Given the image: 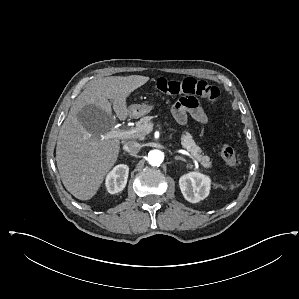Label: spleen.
I'll list each match as a JSON object with an SVG mask.
<instances>
[{"label": "spleen", "mask_w": 299, "mask_h": 299, "mask_svg": "<svg viewBox=\"0 0 299 299\" xmlns=\"http://www.w3.org/2000/svg\"><path fill=\"white\" fill-rule=\"evenodd\" d=\"M230 188L233 190L234 189V185H231Z\"/></svg>", "instance_id": "spleen-1"}]
</instances>
